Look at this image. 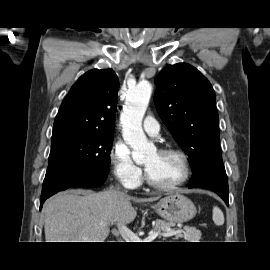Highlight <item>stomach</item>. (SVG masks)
<instances>
[{
    "mask_svg": "<svg viewBox=\"0 0 270 270\" xmlns=\"http://www.w3.org/2000/svg\"><path fill=\"white\" fill-rule=\"evenodd\" d=\"M153 208L170 223H185L194 218L197 212L193 202L179 193L160 199Z\"/></svg>",
    "mask_w": 270,
    "mask_h": 270,
    "instance_id": "stomach-1",
    "label": "stomach"
}]
</instances>
